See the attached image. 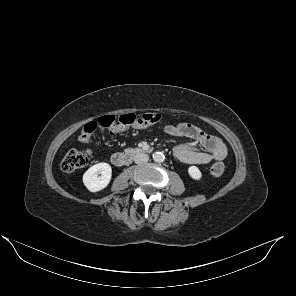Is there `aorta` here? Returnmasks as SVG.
Instances as JSON below:
<instances>
[{"label": "aorta", "mask_w": 296, "mask_h": 296, "mask_svg": "<svg viewBox=\"0 0 296 296\" xmlns=\"http://www.w3.org/2000/svg\"><path fill=\"white\" fill-rule=\"evenodd\" d=\"M164 159H165V156H164V154L162 152L153 153V160L155 162L161 163V162L164 161Z\"/></svg>", "instance_id": "1"}]
</instances>
